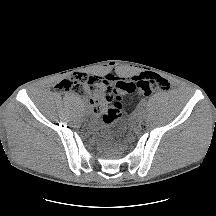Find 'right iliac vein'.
Wrapping results in <instances>:
<instances>
[{"label": "right iliac vein", "mask_w": 216, "mask_h": 216, "mask_svg": "<svg viewBox=\"0 0 216 216\" xmlns=\"http://www.w3.org/2000/svg\"><path fill=\"white\" fill-rule=\"evenodd\" d=\"M85 113V115L87 116L88 114H89V111L88 110H86V111H84Z\"/></svg>", "instance_id": "right-iliac-vein-1"}]
</instances>
